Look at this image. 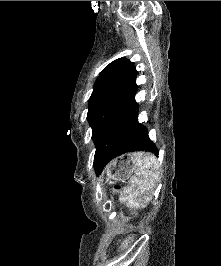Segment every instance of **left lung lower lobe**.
I'll return each mask as SVG.
<instances>
[{"label": "left lung lower lobe", "mask_w": 221, "mask_h": 266, "mask_svg": "<svg viewBox=\"0 0 221 266\" xmlns=\"http://www.w3.org/2000/svg\"><path fill=\"white\" fill-rule=\"evenodd\" d=\"M136 92L117 111L96 149L94 168L97 174L113 158L128 152L149 151L158 155L146 127L138 122Z\"/></svg>", "instance_id": "1"}]
</instances>
